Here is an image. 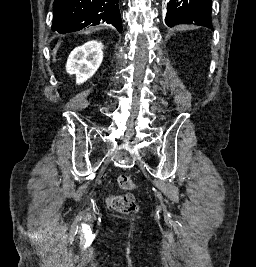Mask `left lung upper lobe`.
<instances>
[{"label": "left lung upper lobe", "mask_w": 256, "mask_h": 267, "mask_svg": "<svg viewBox=\"0 0 256 267\" xmlns=\"http://www.w3.org/2000/svg\"><path fill=\"white\" fill-rule=\"evenodd\" d=\"M212 0H170L165 22L200 25L213 30Z\"/></svg>", "instance_id": "5c2ea615"}]
</instances>
